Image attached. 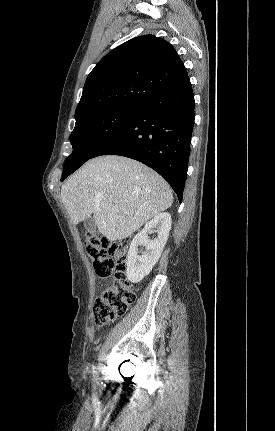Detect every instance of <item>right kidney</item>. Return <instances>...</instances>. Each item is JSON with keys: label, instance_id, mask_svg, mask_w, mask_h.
<instances>
[{"label": "right kidney", "instance_id": "ca27d5eb", "mask_svg": "<svg viewBox=\"0 0 275 431\" xmlns=\"http://www.w3.org/2000/svg\"><path fill=\"white\" fill-rule=\"evenodd\" d=\"M171 225V215L166 212L160 213L147 222L133 238L126 261V276L130 282L138 283L150 273L161 256ZM153 228L157 229L158 236L150 240L148 232ZM139 246H144L146 249V251H141V255H138Z\"/></svg>", "mask_w": 275, "mask_h": 431}]
</instances>
